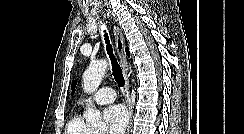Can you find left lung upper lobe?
<instances>
[{
	"instance_id": "obj_1",
	"label": "left lung upper lobe",
	"mask_w": 244,
	"mask_h": 134,
	"mask_svg": "<svg viewBox=\"0 0 244 134\" xmlns=\"http://www.w3.org/2000/svg\"><path fill=\"white\" fill-rule=\"evenodd\" d=\"M75 87H76V81H72V94L75 92Z\"/></svg>"
}]
</instances>
